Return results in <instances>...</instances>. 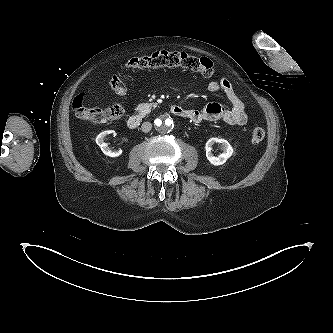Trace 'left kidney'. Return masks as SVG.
Instances as JSON below:
<instances>
[{
	"mask_svg": "<svg viewBox=\"0 0 333 333\" xmlns=\"http://www.w3.org/2000/svg\"><path fill=\"white\" fill-rule=\"evenodd\" d=\"M215 143H219L221 145V149L223 150V153L220 154L218 157L213 156L212 154V146ZM205 149H206V157L208 159V161L214 165V166H219L224 164L227 159H229L234 150L232 148V146L229 144V142L225 139H220V138H210L205 145Z\"/></svg>",
	"mask_w": 333,
	"mask_h": 333,
	"instance_id": "5707ae66",
	"label": "left kidney"
}]
</instances>
